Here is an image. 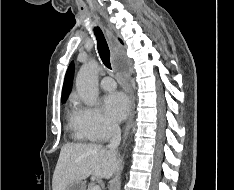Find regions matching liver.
Returning <instances> with one entry per match:
<instances>
[{
  "label": "liver",
  "instance_id": "liver-1",
  "mask_svg": "<svg viewBox=\"0 0 234 190\" xmlns=\"http://www.w3.org/2000/svg\"><path fill=\"white\" fill-rule=\"evenodd\" d=\"M119 166L117 153L101 145L67 143L61 147L52 179L53 190H65L74 181L90 175L110 179Z\"/></svg>",
  "mask_w": 234,
  "mask_h": 190
}]
</instances>
